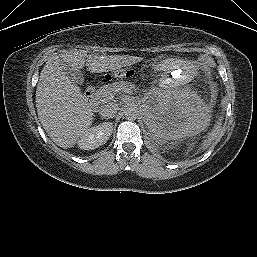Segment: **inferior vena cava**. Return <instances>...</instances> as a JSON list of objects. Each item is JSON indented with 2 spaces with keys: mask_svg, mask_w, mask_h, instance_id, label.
<instances>
[{
  "mask_svg": "<svg viewBox=\"0 0 257 257\" xmlns=\"http://www.w3.org/2000/svg\"><path fill=\"white\" fill-rule=\"evenodd\" d=\"M118 110V104L110 102L101 106L99 113L104 118H112L116 115Z\"/></svg>",
  "mask_w": 257,
  "mask_h": 257,
  "instance_id": "1",
  "label": "inferior vena cava"
}]
</instances>
